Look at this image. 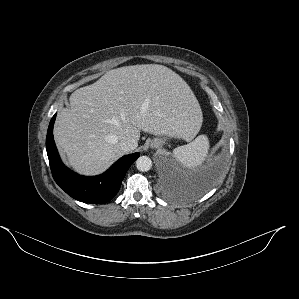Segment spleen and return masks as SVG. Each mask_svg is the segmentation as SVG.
Returning <instances> with one entry per match:
<instances>
[{
  "instance_id": "3e777b00",
  "label": "spleen",
  "mask_w": 299,
  "mask_h": 299,
  "mask_svg": "<svg viewBox=\"0 0 299 299\" xmlns=\"http://www.w3.org/2000/svg\"><path fill=\"white\" fill-rule=\"evenodd\" d=\"M209 147L208 137L200 135L191 143L175 148L173 155L183 166L194 169L205 161Z\"/></svg>"
}]
</instances>
